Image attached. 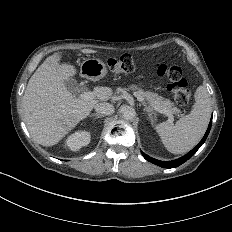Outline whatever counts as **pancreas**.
<instances>
[{
    "mask_svg": "<svg viewBox=\"0 0 232 232\" xmlns=\"http://www.w3.org/2000/svg\"><path fill=\"white\" fill-rule=\"evenodd\" d=\"M135 95L142 96L143 98L146 99L147 103H149L150 105L159 106L168 113L178 111V109L176 107H173V103H170L168 99L163 101L162 97H159L157 94L151 93L149 91H143V90L135 91Z\"/></svg>",
    "mask_w": 232,
    "mask_h": 232,
    "instance_id": "cf45deb5",
    "label": "pancreas"
}]
</instances>
